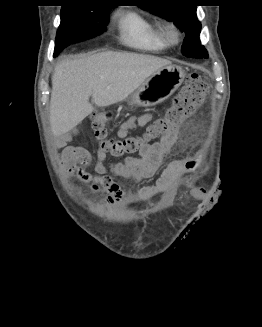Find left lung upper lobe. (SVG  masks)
Masks as SVG:
<instances>
[{
	"mask_svg": "<svg viewBox=\"0 0 262 327\" xmlns=\"http://www.w3.org/2000/svg\"><path fill=\"white\" fill-rule=\"evenodd\" d=\"M141 9L165 18L186 33L182 53L191 58H207L208 53L200 44L201 24L197 19V6L188 0H142Z\"/></svg>",
	"mask_w": 262,
	"mask_h": 327,
	"instance_id": "obj_1",
	"label": "left lung upper lobe"
}]
</instances>
